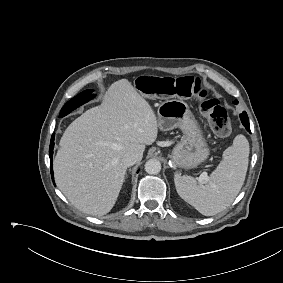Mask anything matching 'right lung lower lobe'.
Returning a JSON list of instances; mask_svg holds the SVG:
<instances>
[{
	"label": "right lung lower lobe",
	"instance_id": "98d812e1",
	"mask_svg": "<svg viewBox=\"0 0 283 283\" xmlns=\"http://www.w3.org/2000/svg\"><path fill=\"white\" fill-rule=\"evenodd\" d=\"M54 137H55V134L52 135L51 137V142H50V147H49V157H50V163H51V174H52V180H53V183H54V177H53V170H52V156H53V148H54ZM139 172V170H138ZM55 185V183H54Z\"/></svg>",
	"mask_w": 283,
	"mask_h": 283
}]
</instances>
